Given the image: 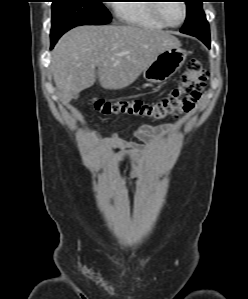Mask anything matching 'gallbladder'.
Masks as SVG:
<instances>
[{"label": "gallbladder", "mask_w": 248, "mask_h": 299, "mask_svg": "<svg viewBox=\"0 0 248 299\" xmlns=\"http://www.w3.org/2000/svg\"><path fill=\"white\" fill-rule=\"evenodd\" d=\"M78 97H79V93H74V94H73V98H74V99H77Z\"/></svg>", "instance_id": "bac80fb5"}]
</instances>
